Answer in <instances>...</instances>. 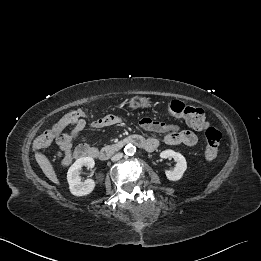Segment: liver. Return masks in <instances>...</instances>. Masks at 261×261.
<instances>
[{
    "mask_svg": "<svg viewBox=\"0 0 261 261\" xmlns=\"http://www.w3.org/2000/svg\"><path fill=\"white\" fill-rule=\"evenodd\" d=\"M35 158L37 163L39 164L40 168L42 169L43 173L46 175V177L51 180L55 184H60L57 175L53 169L52 164L48 160V158L39 152H36Z\"/></svg>",
    "mask_w": 261,
    "mask_h": 261,
    "instance_id": "obj_1",
    "label": "liver"
}]
</instances>
